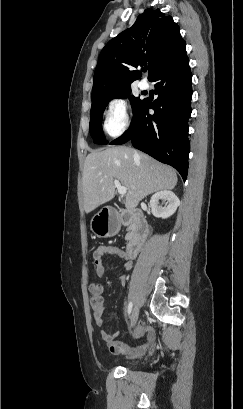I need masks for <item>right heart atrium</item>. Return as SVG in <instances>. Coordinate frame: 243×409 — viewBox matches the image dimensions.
<instances>
[{
  "label": "right heart atrium",
  "mask_w": 243,
  "mask_h": 409,
  "mask_svg": "<svg viewBox=\"0 0 243 409\" xmlns=\"http://www.w3.org/2000/svg\"><path fill=\"white\" fill-rule=\"evenodd\" d=\"M131 121L130 107L124 97L109 99L104 112V129L112 137L120 136L129 127Z\"/></svg>",
  "instance_id": "d8ad5b80"
}]
</instances>
